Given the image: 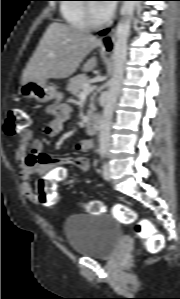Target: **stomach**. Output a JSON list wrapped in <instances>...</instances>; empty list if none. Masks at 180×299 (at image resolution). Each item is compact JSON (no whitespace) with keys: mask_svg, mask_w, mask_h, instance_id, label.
Wrapping results in <instances>:
<instances>
[{"mask_svg":"<svg viewBox=\"0 0 180 299\" xmlns=\"http://www.w3.org/2000/svg\"><path fill=\"white\" fill-rule=\"evenodd\" d=\"M18 93L23 98H33L38 103H47L56 97L57 91L47 80H30L20 85Z\"/></svg>","mask_w":180,"mask_h":299,"instance_id":"0dacf381","label":"stomach"}]
</instances>
